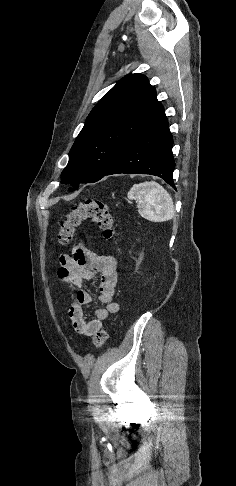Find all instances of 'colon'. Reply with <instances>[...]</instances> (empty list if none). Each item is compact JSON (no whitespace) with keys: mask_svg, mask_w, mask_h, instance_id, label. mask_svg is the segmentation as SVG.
Returning a JSON list of instances; mask_svg holds the SVG:
<instances>
[{"mask_svg":"<svg viewBox=\"0 0 236 486\" xmlns=\"http://www.w3.org/2000/svg\"><path fill=\"white\" fill-rule=\"evenodd\" d=\"M89 221L96 224L105 239L114 235V215L111 209L102 201L87 199L72 206L70 212L60 221L58 227V242L62 245L71 243L75 232L82 223ZM107 340V332L104 329L94 333L92 341L96 348H100Z\"/></svg>","mask_w":236,"mask_h":486,"instance_id":"1","label":"colon"}]
</instances>
